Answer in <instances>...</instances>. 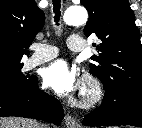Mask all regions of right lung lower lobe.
<instances>
[{
  "mask_svg": "<svg viewBox=\"0 0 142 128\" xmlns=\"http://www.w3.org/2000/svg\"><path fill=\"white\" fill-rule=\"evenodd\" d=\"M17 116L47 120L59 125L64 118L61 103L40 91L38 80L19 93L0 94V117Z\"/></svg>",
  "mask_w": 142,
  "mask_h": 128,
  "instance_id": "right-lung-lower-lobe-1",
  "label": "right lung lower lobe"
}]
</instances>
